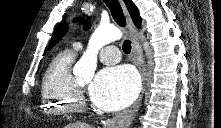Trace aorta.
<instances>
[{"label": "aorta", "instance_id": "762f6f07", "mask_svg": "<svg viewBox=\"0 0 221 128\" xmlns=\"http://www.w3.org/2000/svg\"><path fill=\"white\" fill-rule=\"evenodd\" d=\"M122 35L121 30L113 25L98 26L89 39L86 51L74 66V75L83 78L85 81H90L97 67L99 50L103 46L121 39Z\"/></svg>", "mask_w": 221, "mask_h": 128}]
</instances>
